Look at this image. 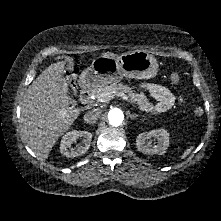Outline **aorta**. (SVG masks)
<instances>
[{"label":"aorta","mask_w":221,"mask_h":221,"mask_svg":"<svg viewBox=\"0 0 221 221\" xmlns=\"http://www.w3.org/2000/svg\"><path fill=\"white\" fill-rule=\"evenodd\" d=\"M124 114L121 109L113 108L108 113V122L111 126H120L123 122Z\"/></svg>","instance_id":"aorta-1"}]
</instances>
